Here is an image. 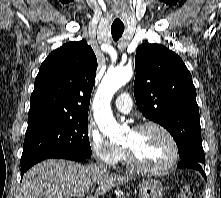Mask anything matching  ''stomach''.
<instances>
[{"mask_svg":"<svg viewBox=\"0 0 221 198\" xmlns=\"http://www.w3.org/2000/svg\"><path fill=\"white\" fill-rule=\"evenodd\" d=\"M164 191L162 183L155 179L143 180L138 186L139 198H162Z\"/></svg>","mask_w":221,"mask_h":198,"instance_id":"obj_1","label":"stomach"}]
</instances>
